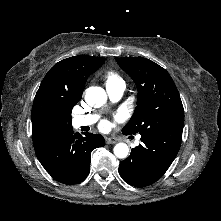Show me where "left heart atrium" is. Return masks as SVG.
I'll return each instance as SVG.
<instances>
[{"instance_id":"obj_1","label":"left heart atrium","mask_w":221,"mask_h":221,"mask_svg":"<svg viewBox=\"0 0 221 221\" xmlns=\"http://www.w3.org/2000/svg\"><path fill=\"white\" fill-rule=\"evenodd\" d=\"M100 127H101L102 129L107 128V127H108V122H107V121H103V122L101 123Z\"/></svg>"}]
</instances>
